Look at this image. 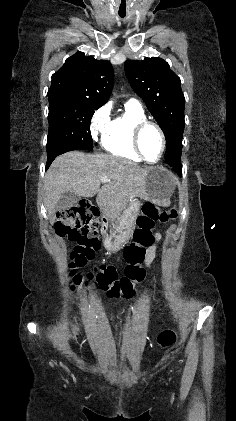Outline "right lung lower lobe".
I'll use <instances>...</instances> for the list:
<instances>
[{
	"label": "right lung lower lobe",
	"instance_id": "right-lung-lower-lobe-1",
	"mask_svg": "<svg viewBox=\"0 0 236 421\" xmlns=\"http://www.w3.org/2000/svg\"><path fill=\"white\" fill-rule=\"evenodd\" d=\"M68 151H72L71 149L67 148V149H63L60 151L61 154L68 152ZM60 154H53L51 156H47V164H46V170L48 169V167L50 166V164L53 162V160Z\"/></svg>",
	"mask_w": 236,
	"mask_h": 421
}]
</instances>
